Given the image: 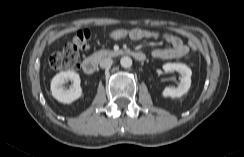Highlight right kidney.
I'll return each mask as SVG.
<instances>
[{"label": "right kidney", "mask_w": 244, "mask_h": 157, "mask_svg": "<svg viewBox=\"0 0 244 157\" xmlns=\"http://www.w3.org/2000/svg\"><path fill=\"white\" fill-rule=\"evenodd\" d=\"M73 82L70 89L65 90L63 84L65 81ZM52 96L59 102L71 104L82 96L79 74L74 71H65L56 74L51 81Z\"/></svg>", "instance_id": "obj_1"}]
</instances>
